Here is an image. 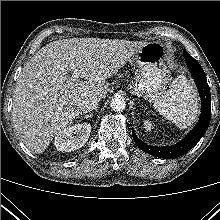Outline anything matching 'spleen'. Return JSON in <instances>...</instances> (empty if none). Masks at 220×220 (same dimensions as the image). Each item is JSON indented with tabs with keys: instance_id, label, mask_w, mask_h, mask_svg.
<instances>
[{
	"instance_id": "1",
	"label": "spleen",
	"mask_w": 220,
	"mask_h": 220,
	"mask_svg": "<svg viewBox=\"0 0 220 220\" xmlns=\"http://www.w3.org/2000/svg\"><path fill=\"white\" fill-rule=\"evenodd\" d=\"M153 106L181 129L190 127L199 113L197 93L182 75L171 83L168 91L154 100Z\"/></svg>"
}]
</instances>
